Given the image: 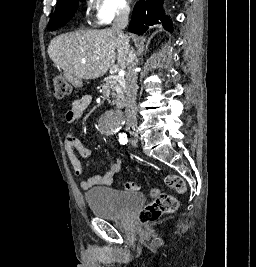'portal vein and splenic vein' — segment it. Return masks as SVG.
Returning <instances> with one entry per match:
<instances>
[{
	"instance_id": "1",
	"label": "portal vein and splenic vein",
	"mask_w": 256,
	"mask_h": 267,
	"mask_svg": "<svg viewBox=\"0 0 256 267\" xmlns=\"http://www.w3.org/2000/svg\"><path fill=\"white\" fill-rule=\"evenodd\" d=\"M116 72H119V66H112L110 74H116Z\"/></svg>"
}]
</instances>
